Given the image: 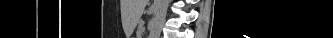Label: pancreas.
<instances>
[{
    "label": "pancreas",
    "instance_id": "1",
    "mask_svg": "<svg viewBox=\"0 0 333 38\" xmlns=\"http://www.w3.org/2000/svg\"><path fill=\"white\" fill-rule=\"evenodd\" d=\"M138 30H139L140 32H143V26L140 25Z\"/></svg>",
    "mask_w": 333,
    "mask_h": 38
}]
</instances>
